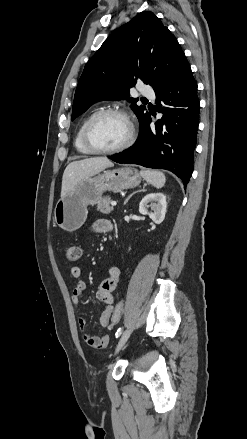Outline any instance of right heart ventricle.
Segmentation results:
<instances>
[{
    "label": "right heart ventricle",
    "mask_w": 247,
    "mask_h": 439,
    "mask_svg": "<svg viewBox=\"0 0 247 439\" xmlns=\"http://www.w3.org/2000/svg\"><path fill=\"white\" fill-rule=\"evenodd\" d=\"M95 113V111L89 113L88 115H86L83 120L81 121L76 133H75V137H74V146L75 149L81 153V154H91V152L85 147L83 140H82V133H83V128L85 123L87 122V120Z\"/></svg>",
    "instance_id": "1"
}]
</instances>
